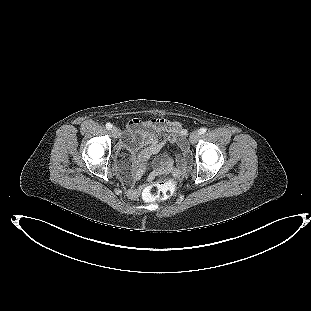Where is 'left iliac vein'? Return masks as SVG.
<instances>
[{
  "label": "left iliac vein",
  "mask_w": 311,
  "mask_h": 311,
  "mask_svg": "<svg viewBox=\"0 0 311 311\" xmlns=\"http://www.w3.org/2000/svg\"><path fill=\"white\" fill-rule=\"evenodd\" d=\"M199 136H200L199 131H193L190 134V138H189L190 143L195 144L198 141Z\"/></svg>",
  "instance_id": "left-iliac-vein-1"
}]
</instances>
